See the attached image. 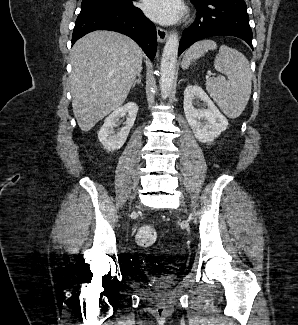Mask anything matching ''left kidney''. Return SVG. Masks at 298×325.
<instances>
[{
  "label": "left kidney",
  "instance_id": "obj_1",
  "mask_svg": "<svg viewBox=\"0 0 298 325\" xmlns=\"http://www.w3.org/2000/svg\"><path fill=\"white\" fill-rule=\"evenodd\" d=\"M183 94L184 114L195 138L200 142H212L216 136L226 130L229 124L226 116L198 84H188ZM197 98L203 100L204 108H195L194 102Z\"/></svg>",
  "mask_w": 298,
  "mask_h": 325
}]
</instances>
